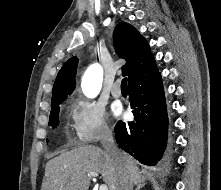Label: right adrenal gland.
<instances>
[{
  "label": "right adrenal gland",
  "instance_id": "1",
  "mask_svg": "<svg viewBox=\"0 0 221 190\" xmlns=\"http://www.w3.org/2000/svg\"><path fill=\"white\" fill-rule=\"evenodd\" d=\"M142 187H144V184H142V185H137L136 188H135V190H140Z\"/></svg>",
  "mask_w": 221,
  "mask_h": 190
}]
</instances>
